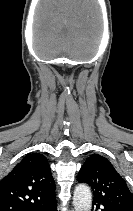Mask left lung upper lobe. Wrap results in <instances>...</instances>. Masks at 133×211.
Segmentation results:
<instances>
[{"label": "left lung upper lobe", "instance_id": "1", "mask_svg": "<svg viewBox=\"0 0 133 211\" xmlns=\"http://www.w3.org/2000/svg\"><path fill=\"white\" fill-rule=\"evenodd\" d=\"M77 180L91 186L93 202L104 209L133 211V195L125 180L103 156L91 155L81 167Z\"/></svg>", "mask_w": 133, "mask_h": 211}]
</instances>
